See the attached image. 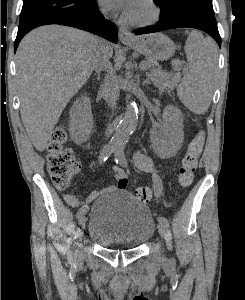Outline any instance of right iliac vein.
<instances>
[{"label":"right iliac vein","instance_id":"63e3f726","mask_svg":"<svg viewBox=\"0 0 245 300\" xmlns=\"http://www.w3.org/2000/svg\"><path fill=\"white\" fill-rule=\"evenodd\" d=\"M85 223H86V216L83 215V216L80 218V220H79V225H80L81 227H83V226H85ZM77 237H78L80 240H81L82 237H83V231H82L80 228H78V230H77ZM77 256H81V252H78V253H77Z\"/></svg>","mask_w":245,"mask_h":300}]
</instances>
